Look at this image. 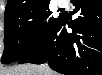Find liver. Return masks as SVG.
I'll use <instances>...</instances> for the list:
<instances>
[{
	"label": "liver",
	"mask_w": 102,
	"mask_h": 75,
	"mask_svg": "<svg viewBox=\"0 0 102 75\" xmlns=\"http://www.w3.org/2000/svg\"><path fill=\"white\" fill-rule=\"evenodd\" d=\"M1 75H57L46 64H24L2 70Z\"/></svg>",
	"instance_id": "1"
}]
</instances>
